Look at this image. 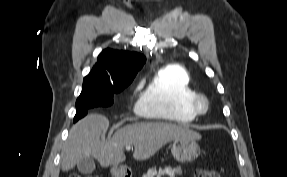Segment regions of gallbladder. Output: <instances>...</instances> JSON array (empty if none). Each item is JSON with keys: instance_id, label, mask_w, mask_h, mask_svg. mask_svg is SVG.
Instances as JSON below:
<instances>
[{"instance_id": "bac80fb5", "label": "gallbladder", "mask_w": 287, "mask_h": 177, "mask_svg": "<svg viewBox=\"0 0 287 177\" xmlns=\"http://www.w3.org/2000/svg\"><path fill=\"white\" fill-rule=\"evenodd\" d=\"M78 171L82 174H91L95 170V162L91 156L81 158L77 162Z\"/></svg>"}]
</instances>
